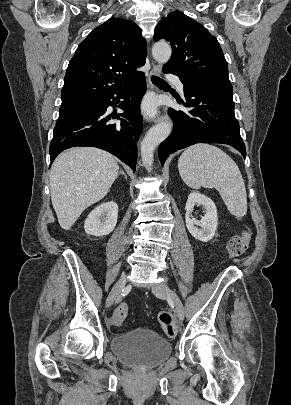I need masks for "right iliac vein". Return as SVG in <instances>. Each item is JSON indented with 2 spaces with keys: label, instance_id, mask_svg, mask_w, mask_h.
I'll use <instances>...</instances> for the list:
<instances>
[{
  "label": "right iliac vein",
  "instance_id": "obj_1",
  "mask_svg": "<svg viewBox=\"0 0 291 405\" xmlns=\"http://www.w3.org/2000/svg\"><path fill=\"white\" fill-rule=\"evenodd\" d=\"M126 281H127L126 277L123 276L115 284V286L113 287V289L111 290V292L108 295V298H107V301H106L107 307L111 306L113 304L114 300L123 291V289L125 288V285H126Z\"/></svg>",
  "mask_w": 291,
  "mask_h": 405
}]
</instances>
